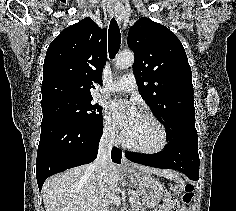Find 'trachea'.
I'll list each match as a JSON object with an SVG mask.
<instances>
[{"label": "trachea", "instance_id": "trachea-1", "mask_svg": "<svg viewBox=\"0 0 236 211\" xmlns=\"http://www.w3.org/2000/svg\"><path fill=\"white\" fill-rule=\"evenodd\" d=\"M121 44L119 26L114 18L111 19L108 30V51L111 59L115 58Z\"/></svg>", "mask_w": 236, "mask_h": 211}]
</instances>
